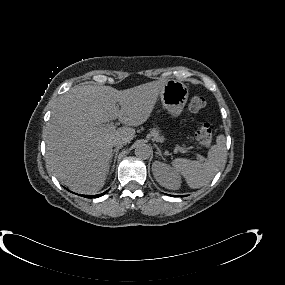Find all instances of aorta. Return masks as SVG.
I'll list each match as a JSON object with an SVG mask.
<instances>
[{
    "label": "aorta",
    "mask_w": 285,
    "mask_h": 285,
    "mask_svg": "<svg viewBox=\"0 0 285 285\" xmlns=\"http://www.w3.org/2000/svg\"><path fill=\"white\" fill-rule=\"evenodd\" d=\"M135 155L140 159H148L151 155L149 145L142 142L138 143L135 147Z\"/></svg>",
    "instance_id": "1"
}]
</instances>
